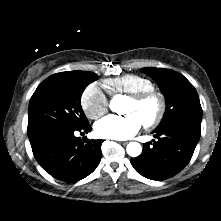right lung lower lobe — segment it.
<instances>
[{
    "label": "right lung lower lobe",
    "instance_id": "98d812e1",
    "mask_svg": "<svg viewBox=\"0 0 221 221\" xmlns=\"http://www.w3.org/2000/svg\"><path fill=\"white\" fill-rule=\"evenodd\" d=\"M86 124L79 128L55 126L29 136L35 159L54 178L77 182L91 174L101 160L103 140L81 141L75 131H91Z\"/></svg>",
    "mask_w": 221,
    "mask_h": 221
}]
</instances>
